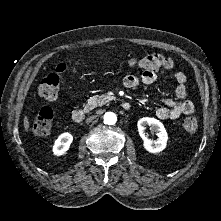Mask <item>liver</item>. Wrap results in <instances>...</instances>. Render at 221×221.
Wrapping results in <instances>:
<instances>
[{
	"label": "liver",
	"mask_w": 221,
	"mask_h": 221,
	"mask_svg": "<svg viewBox=\"0 0 221 221\" xmlns=\"http://www.w3.org/2000/svg\"><path fill=\"white\" fill-rule=\"evenodd\" d=\"M29 127H30V125H29V118L27 116H25L24 117V128H25L26 131H28Z\"/></svg>",
	"instance_id": "liver-1"
}]
</instances>
